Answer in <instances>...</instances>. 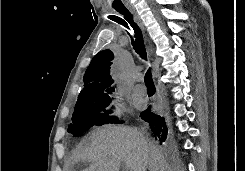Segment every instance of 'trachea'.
I'll return each mask as SVG.
<instances>
[{"label": "trachea", "instance_id": "trachea-1", "mask_svg": "<svg viewBox=\"0 0 245 171\" xmlns=\"http://www.w3.org/2000/svg\"><path fill=\"white\" fill-rule=\"evenodd\" d=\"M113 8L119 12L123 18L116 17L112 18L113 21L117 22L118 24L122 25L123 27L127 28L131 35L132 45L134 50L143 58L146 59V50L143 41V36L140 28L133 20V15L131 12L126 8V6L120 0H116L113 3ZM145 84L146 86H154L151 69L145 74Z\"/></svg>", "mask_w": 245, "mask_h": 171}]
</instances>
